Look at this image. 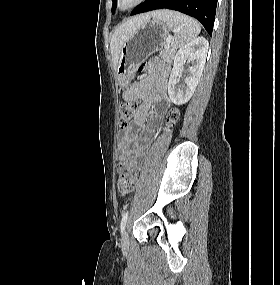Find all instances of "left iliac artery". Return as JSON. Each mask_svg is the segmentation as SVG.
Segmentation results:
<instances>
[{"label":"left iliac artery","mask_w":280,"mask_h":285,"mask_svg":"<svg viewBox=\"0 0 280 285\" xmlns=\"http://www.w3.org/2000/svg\"><path fill=\"white\" fill-rule=\"evenodd\" d=\"M127 218H128V211H126L122 217L121 220V224H120V228H121V233H123L125 226H126V222H127Z\"/></svg>","instance_id":"obj_1"}]
</instances>
